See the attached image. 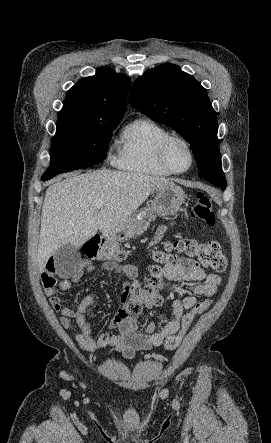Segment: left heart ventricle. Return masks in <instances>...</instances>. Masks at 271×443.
<instances>
[{"instance_id":"b2bd125f","label":"left heart ventricle","mask_w":271,"mask_h":443,"mask_svg":"<svg viewBox=\"0 0 271 443\" xmlns=\"http://www.w3.org/2000/svg\"><path fill=\"white\" fill-rule=\"evenodd\" d=\"M167 157L176 170H186L191 164V154L187 146L180 140H173L167 148Z\"/></svg>"}]
</instances>
